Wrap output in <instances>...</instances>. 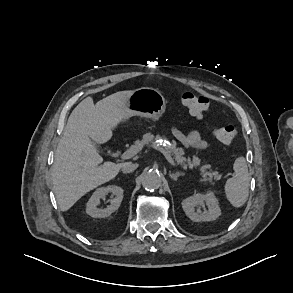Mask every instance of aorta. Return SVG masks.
Returning a JSON list of instances; mask_svg holds the SVG:
<instances>
[{"mask_svg": "<svg viewBox=\"0 0 293 293\" xmlns=\"http://www.w3.org/2000/svg\"><path fill=\"white\" fill-rule=\"evenodd\" d=\"M142 186L148 191H154L161 186V176L158 172L150 170L142 175Z\"/></svg>", "mask_w": 293, "mask_h": 293, "instance_id": "1", "label": "aorta"}]
</instances>
